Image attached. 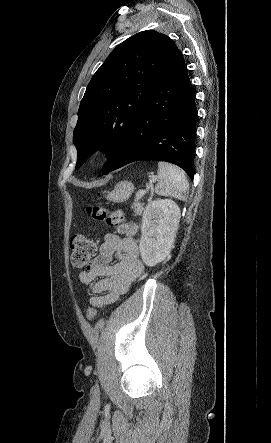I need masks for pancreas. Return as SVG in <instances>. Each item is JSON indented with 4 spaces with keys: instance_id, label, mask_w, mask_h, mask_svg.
I'll use <instances>...</instances> for the list:
<instances>
[{
    "instance_id": "1",
    "label": "pancreas",
    "mask_w": 271,
    "mask_h": 443,
    "mask_svg": "<svg viewBox=\"0 0 271 443\" xmlns=\"http://www.w3.org/2000/svg\"><path fill=\"white\" fill-rule=\"evenodd\" d=\"M133 208L135 210V216H142L144 212L143 204H139V202H134Z\"/></svg>"
}]
</instances>
